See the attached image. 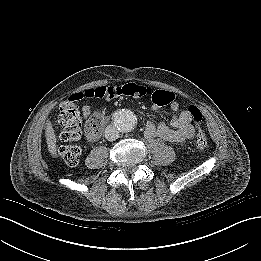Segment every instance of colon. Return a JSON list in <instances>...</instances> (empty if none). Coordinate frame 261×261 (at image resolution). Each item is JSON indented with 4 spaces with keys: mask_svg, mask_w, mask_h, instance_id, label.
<instances>
[{
    "mask_svg": "<svg viewBox=\"0 0 261 261\" xmlns=\"http://www.w3.org/2000/svg\"><path fill=\"white\" fill-rule=\"evenodd\" d=\"M150 95L153 102L162 107L169 105L174 99L171 92L163 90H153L150 87L136 83H127L119 86H100L75 94L60 106L58 121L62 125L61 140L67 144L59 148V155L68 165H76L79 162L81 149L73 142L79 140L82 136V119L78 110L77 102L84 97L97 98L100 100H112L123 96L141 98ZM188 111L192 115L193 121L197 125V135L195 145L198 149L207 147V138L201 128L202 115L200 110L191 105ZM102 126V118L99 113H95L87 124V132L91 140H95Z\"/></svg>",
    "mask_w": 261,
    "mask_h": 261,
    "instance_id": "5ec220e1",
    "label": "colon"
}]
</instances>
